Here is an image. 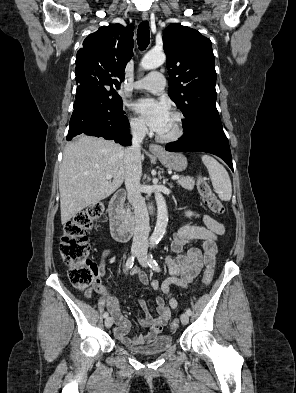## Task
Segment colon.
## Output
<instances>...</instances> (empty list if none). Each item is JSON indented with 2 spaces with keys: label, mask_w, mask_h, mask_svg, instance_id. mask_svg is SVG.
<instances>
[{
  "label": "colon",
  "mask_w": 296,
  "mask_h": 393,
  "mask_svg": "<svg viewBox=\"0 0 296 393\" xmlns=\"http://www.w3.org/2000/svg\"><path fill=\"white\" fill-rule=\"evenodd\" d=\"M198 191L205 205L215 214H223L224 206L216 197L204 177L197 180ZM104 205L96 202L78 212L64 226L60 242V254L63 262L69 268L68 276L72 285L82 291H88L97 280V268L89 258V244L87 235L92 229L94 222L101 216ZM214 276L213 267L205 269L202 285L211 284ZM179 321L175 319L171 323V329L178 327Z\"/></svg>",
  "instance_id": "colon-1"
}]
</instances>
